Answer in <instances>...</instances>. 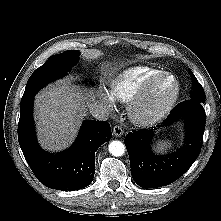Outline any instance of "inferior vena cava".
I'll list each match as a JSON object with an SVG mask.
<instances>
[{
    "label": "inferior vena cava",
    "mask_w": 221,
    "mask_h": 221,
    "mask_svg": "<svg viewBox=\"0 0 221 221\" xmlns=\"http://www.w3.org/2000/svg\"><path fill=\"white\" fill-rule=\"evenodd\" d=\"M91 115L98 120H107L109 118V112L103 103H95L89 106Z\"/></svg>",
    "instance_id": "602c4592"
}]
</instances>
